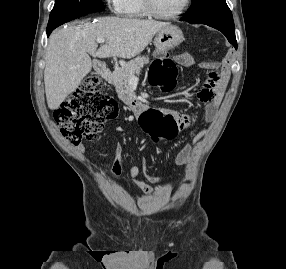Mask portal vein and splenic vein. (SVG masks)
I'll return each mask as SVG.
<instances>
[{
    "label": "portal vein and splenic vein",
    "instance_id": "portal-vein-and-splenic-vein-1",
    "mask_svg": "<svg viewBox=\"0 0 286 269\" xmlns=\"http://www.w3.org/2000/svg\"><path fill=\"white\" fill-rule=\"evenodd\" d=\"M97 42H98V43H104V42H105V39H103V38H98V39H97ZM120 65H121V66H125L126 63H125L124 61H120ZM131 80L137 81L138 78H137L136 76H134V77L131 78Z\"/></svg>",
    "mask_w": 286,
    "mask_h": 269
}]
</instances>
